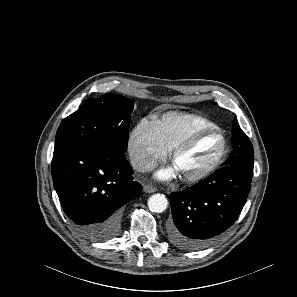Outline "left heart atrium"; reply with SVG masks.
Returning <instances> with one entry per match:
<instances>
[{
	"label": "left heart atrium",
	"mask_w": 297,
	"mask_h": 297,
	"mask_svg": "<svg viewBox=\"0 0 297 297\" xmlns=\"http://www.w3.org/2000/svg\"><path fill=\"white\" fill-rule=\"evenodd\" d=\"M178 174V172L176 171V169L172 166L169 168H165L160 170L157 174L156 177L160 180H167L170 178L175 177Z\"/></svg>",
	"instance_id": "39dd6f15"
}]
</instances>
